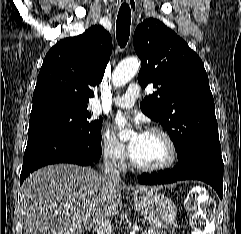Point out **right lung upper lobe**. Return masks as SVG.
Masks as SVG:
<instances>
[{"label":"right lung upper lobe","mask_w":241,"mask_h":234,"mask_svg":"<svg viewBox=\"0 0 241 234\" xmlns=\"http://www.w3.org/2000/svg\"><path fill=\"white\" fill-rule=\"evenodd\" d=\"M112 52V39L103 27L57 42L47 53L37 78L33 105L47 102L87 104L94 96Z\"/></svg>","instance_id":"obj_1"}]
</instances>
